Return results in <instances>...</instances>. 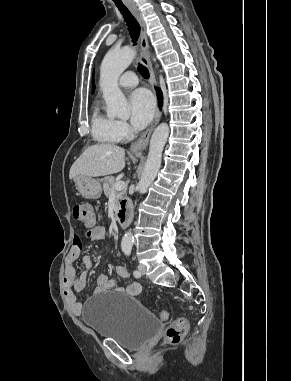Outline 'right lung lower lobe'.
I'll return each instance as SVG.
<instances>
[{"label":"right lung lower lobe","mask_w":291,"mask_h":381,"mask_svg":"<svg viewBox=\"0 0 291 381\" xmlns=\"http://www.w3.org/2000/svg\"><path fill=\"white\" fill-rule=\"evenodd\" d=\"M157 94H158V98L161 100L162 99V93L159 89H157Z\"/></svg>","instance_id":"right-lung-lower-lobe-1"}]
</instances>
